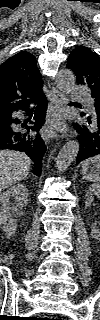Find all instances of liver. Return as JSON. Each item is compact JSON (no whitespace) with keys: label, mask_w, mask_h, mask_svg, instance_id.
I'll return each mask as SVG.
<instances>
[{"label":"liver","mask_w":100,"mask_h":320,"mask_svg":"<svg viewBox=\"0 0 100 320\" xmlns=\"http://www.w3.org/2000/svg\"><path fill=\"white\" fill-rule=\"evenodd\" d=\"M31 159L24 153L14 150L0 151V190L25 179L29 173Z\"/></svg>","instance_id":"1"}]
</instances>
